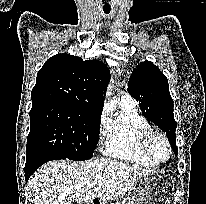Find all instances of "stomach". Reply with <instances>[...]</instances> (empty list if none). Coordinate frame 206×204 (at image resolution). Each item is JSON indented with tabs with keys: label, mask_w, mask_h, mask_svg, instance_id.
Here are the masks:
<instances>
[{
	"label": "stomach",
	"mask_w": 206,
	"mask_h": 204,
	"mask_svg": "<svg viewBox=\"0 0 206 204\" xmlns=\"http://www.w3.org/2000/svg\"><path fill=\"white\" fill-rule=\"evenodd\" d=\"M173 190L170 175L151 171L134 183L121 204H170Z\"/></svg>",
	"instance_id": "obj_1"
}]
</instances>
